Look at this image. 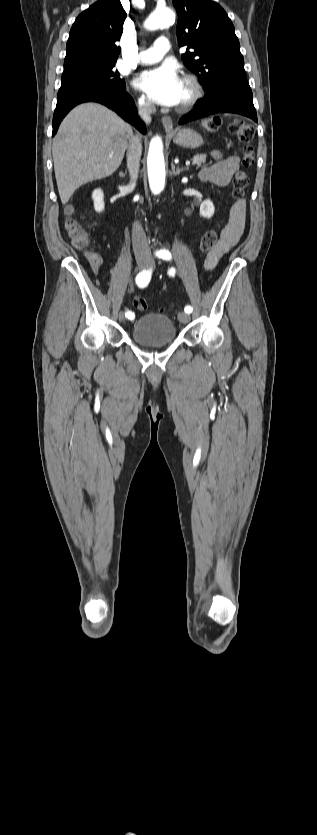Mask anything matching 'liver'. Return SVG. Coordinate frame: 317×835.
<instances>
[{
  "label": "liver",
  "mask_w": 317,
  "mask_h": 835,
  "mask_svg": "<svg viewBox=\"0 0 317 835\" xmlns=\"http://www.w3.org/2000/svg\"><path fill=\"white\" fill-rule=\"evenodd\" d=\"M132 137L131 126L108 108L96 103L75 107L62 121L52 144L62 204L81 185L112 175Z\"/></svg>",
  "instance_id": "6515ba94"
}]
</instances>
